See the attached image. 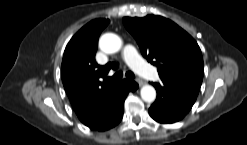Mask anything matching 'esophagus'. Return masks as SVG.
<instances>
[{
    "instance_id": "esophagus-1",
    "label": "esophagus",
    "mask_w": 247,
    "mask_h": 145,
    "mask_svg": "<svg viewBox=\"0 0 247 145\" xmlns=\"http://www.w3.org/2000/svg\"><path fill=\"white\" fill-rule=\"evenodd\" d=\"M137 82H138L140 87L145 84V82L142 79H137Z\"/></svg>"
}]
</instances>
